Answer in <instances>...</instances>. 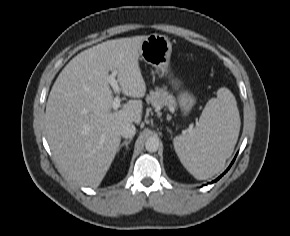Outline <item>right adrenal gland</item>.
<instances>
[{
	"instance_id": "right-adrenal-gland-1",
	"label": "right adrenal gland",
	"mask_w": 290,
	"mask_h": 236,
	"mask_svg": "<svg viewBox=\"0 0 290 236\" xmlns=\"http://www.w3.org/2000/svg\"><path fill=\"white\" fill-rule=\"evenodd\" d=\"M132 141V139H129V140H125L124 142L121 143V145L119 146L118 148V152L120 151V149L125 146L126 147V150H128V145L130 144V142Z\"/></svg>"
}]
</instances>
